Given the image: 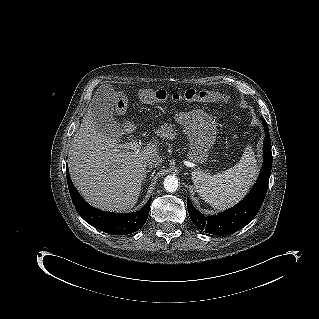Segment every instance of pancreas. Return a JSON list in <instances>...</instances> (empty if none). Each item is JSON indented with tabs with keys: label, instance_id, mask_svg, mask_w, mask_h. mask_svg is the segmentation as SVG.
I'll return each mask as SVG.
<instances>
[{
	"label": "pancreas",
	"instance_id": "cf45deb5",
	"mask_svg": "<svg viewBox=\"0 0 319 319\" xmlns=\"http://www.w3.org/2000/svg\"><path fill=\"white\" fill-rule=\"evenodd\" d=\"M156 133L158 136L167 139H173L177 135L174 125L168 123L162 125L161 128L156 131Z\"/></svg>",
	"mask_w": 319,
	"mask_h": 319
}]
</instances>
